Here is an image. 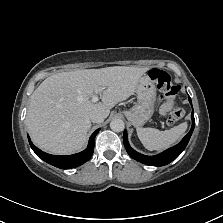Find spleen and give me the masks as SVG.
<instances>
[{
  "label": "spleen",
  "instance_id": "3e777b00",
  "mask_svg": "<svg viewBox=\"0 0 223 223\" xmlns=\"http://www.w3.org/2000/svg\"><path fill=\"white\" fill-rule=\"evenodd\" d=\"M186 129L187 122L165 131L155 128L137 127V135L146 149L150 151L163 150L179 140Z\"/></svg>",
  "mask_w": 223,
  "mask_h": 223
}]
</instances>
